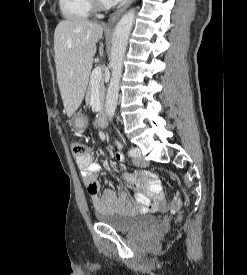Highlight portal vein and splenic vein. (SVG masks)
<instances>
[{"instance_id": "portal-vein-and-splenic-vein-1", "label": "portal vein and splenic vein", "mask_w": 247, "mask_h": 275, "mask_svg": "<svg viewBox=\"0 0 247 275\" xmlns=\"http://www.w3.org/2000/svg\"><path fill=\"white\" fill-rule=\"evenodd\" d=\"M101 77H102V69L100 67H96L91 74V81L94 84H98L101 80Z\"/></svg>"}]
</instances>
